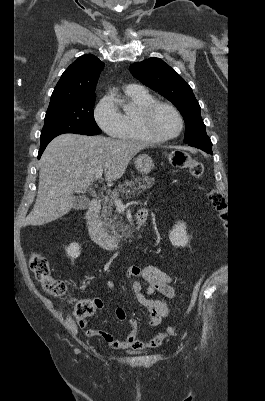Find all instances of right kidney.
Returning <instances> with one entry per match:
<instances>
[{
    "mask_svg": "<svg viewBox=\"0 0 265 401\" xmlns=\"http://www.w3.org/2000/svg\"><path fill=\"white\" fill-rule=\"evenodd\" d=\"M66 251L70 259H77V257L80 255V247L77 245V243H71V245L67 247Z\"/></svg>",
    "mask_w": 265,
    "mask_h": 401,
    "instance_id": "obj_1",
    "label": "right kidney"
}]
</instances>
